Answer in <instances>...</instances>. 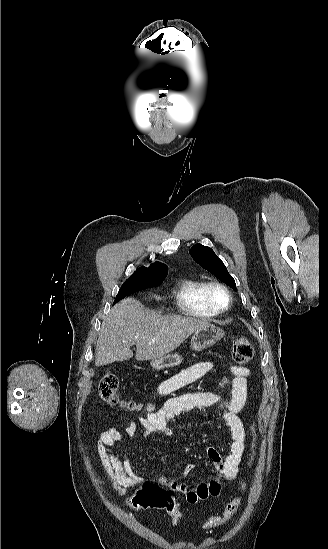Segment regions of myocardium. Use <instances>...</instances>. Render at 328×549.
<instances>
[{
	"mask_svg": "<svg viewBox=\"0 0 328 549\" xmlns=\"http://www.w3.org/2000/svg\"><path fill=\"white\" fill-rule=\"evenodd\" d=\"M218 290L223 291L228 297V302L226 306L222 309L218 308L215 305L213 300V294L215 291H218ZM204 300L206 303L205 309L209 313H211L213 316L220 317L231 310L234 298H233V293L231 289L226 284L221 282H211V283H208L205 288Z\"/></svg>",
	"mask_w": 328,
	"mask_h": 549,
	"instance_id": "obj_1",
	"label": "myocardium"
}]
</instances>
